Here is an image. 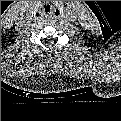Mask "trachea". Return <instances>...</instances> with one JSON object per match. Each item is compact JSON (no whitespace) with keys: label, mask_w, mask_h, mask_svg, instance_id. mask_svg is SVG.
Instances as JSON below:
<instances>
[{"label":"trachea","mask_w":121,"mask_h":121,"mask_svg":"<svg viewBox=\"0 0 121 121\" xmlns=\"http://www.w3.org/2000/svg\"><path fill=\"white\" fill-rule=\"evenodd\" d=\"M40 11L43 15H46V16H50L53 14V8L51 7L50 4L48 3H44L41 8H40Z\"/></svg>","instance_id":"trachea-1"}]
</instances>
